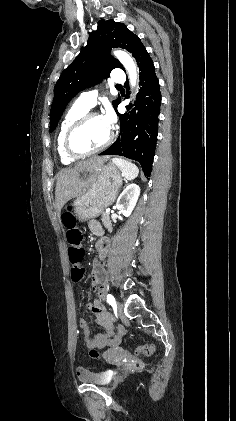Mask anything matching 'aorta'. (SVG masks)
I'll list each match as a JSON object with an SVG mask.
<instances>
[{
	"instance_id": "obj_1",
	"label": "aorta",
	"mask_w": 236,
	"mask_h": 421,
	"mask_svg": "<svg viewBox=\"0 0 236 421\" xmlns=\"http://www.w3.org/2000/svg\"><path fill=\"white\" fill-rule=\"evenodd\" d=\"M114 54L119 58L120 62L124 64L128 72L130 86L131 88H134L138 82V72L132 56L127 54V52H124V50H114Z\"/></svg>"
}]
</instances>
